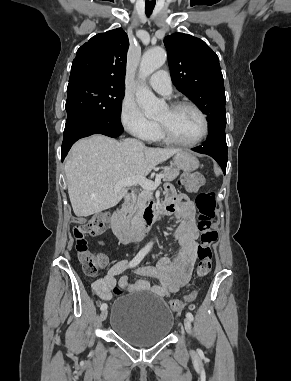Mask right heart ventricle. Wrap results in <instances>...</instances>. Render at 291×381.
I'll use <instances>...</instances> for the list:
<instances>
[{
    "label": "right heart ventricle",
    "mask_w": 291,
    "mask_h": 381,
    "mask_svg": "<svg viewBox=\"0 0 291 381\" xmlns=\"http://www.w3.org/2000/svg\"><path fill=\"white\" fill-rule=\"evenodd\" d=\"M148 139L151 141H156V142L165 141V139L160 135L157 127L155 131L153 132V134Z\"/></svg>",
    "instance_id": "1"
}]
</instances>
